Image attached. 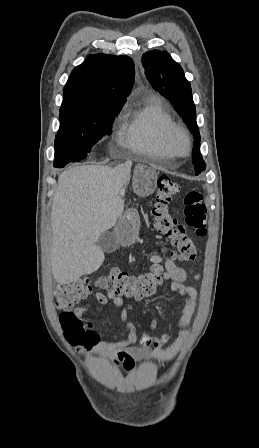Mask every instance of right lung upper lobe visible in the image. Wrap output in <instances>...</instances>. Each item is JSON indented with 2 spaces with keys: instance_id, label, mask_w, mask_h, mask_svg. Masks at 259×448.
<instances>
[{
  "instance_id": "1",
  "label": "right lung upper lobe",
  "mask_w": 259,
  "mask_h": 448,
  "mask_svg": "<svg viewBox=\"0 0 259 448\" xmlns=\"http://www.w3.org/2000/svg\"><path fill=\"white\" fill-rule=\"evenodd\" d=\"M134 78L130 57L89 55L72 71L64 87L60 115L122 108Z\"/></svg>"
}]
</instances>
